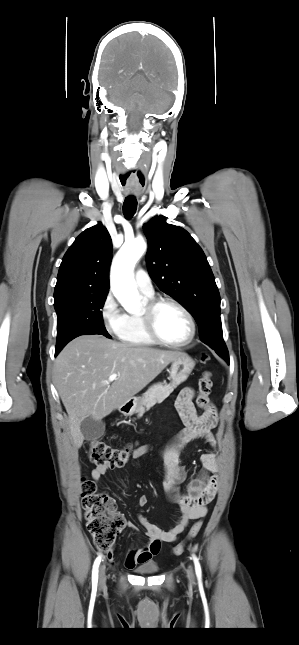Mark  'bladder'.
Returning a JSON list of instances; mask_svg holds the SVG:
<instances>
[{"mask_svg": "<svg viewBox=\"0 0 299 645\" xmlns=\"http://www.w3.org/2000/svg\"><path fill=\"white\" fill-rule=\"evenodd\" d=\"M158 565L155 562H146L136 567V571L141 574H152L158 571Z\"/></svg>", "mask_w": 299, "mask_h": 645, "instance_id": "31cf9c89", "label": "bladder"}]
</instances>
